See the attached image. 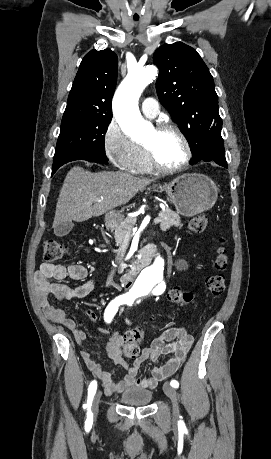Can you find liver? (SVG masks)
I'll return each mask as SVG.
<instances>
[{"label":"liver","mask_w":271,"mask_h":459,"mask_svg":"<svg viewBox=\"0 0 271 459\" xmlns=\"http://www.w3.org/2000/svg\"><path fill=\"white\" fill-rule=\"evenodd\" d=\"M149 184L151 180L135 178L125 172L92 174L83 168H72L60 190L53 228L69 220L85 222L92 216H102L127 204Z\"/></svg>","instance_id":"1"}]
</instances>
